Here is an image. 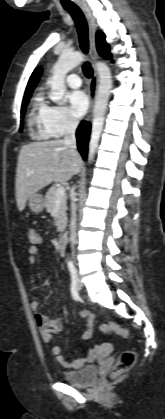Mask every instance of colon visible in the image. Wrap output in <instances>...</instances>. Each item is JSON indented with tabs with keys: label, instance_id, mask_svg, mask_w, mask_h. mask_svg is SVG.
<instances>
[{
	"label": "colon",
	"instance_id": "5ec220e1",
	"mask_svg": "<svg viewBox=\"0 0 165 419\" xmlns=\"http://www.w3.org/2000/svg\"><path fill=\"white\" fill-rule=\"evenodd\" d=\"M28 236L32 243H37L39 241V236L34 230H29ZM101 329L106 334H116L124 338H127L129 335L125 328L116 323H103L101 325ZM136 358V351L132 349L122 351L114 364L112 375L119 376L120 374L128 371L134 365Z\"/></svg>",
	"mask_w": 165,
	"mask_h": 419
}]
</instances>
